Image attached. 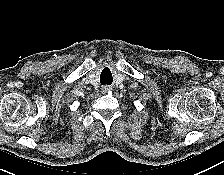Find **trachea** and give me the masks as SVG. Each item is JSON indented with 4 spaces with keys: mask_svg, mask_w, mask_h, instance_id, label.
Instances as JSON below:
<instances>
[{
    "mask_svg": "<svg viewBox=\"0 0 224 175\" xmlns=\"http://www.w3.org/2000/svg\"><path fill=\"white\" fill-rule=\"evenodd\" d=\"M100 82H101L102 85H106V84L111 85L112 77L107 73H102V75L100 77Z\"/></svg>",
    "mask_w": 224,
    "mask_h": 175,
    "instance_id": "1",
    "label": "trachea"
}]
</instances>
